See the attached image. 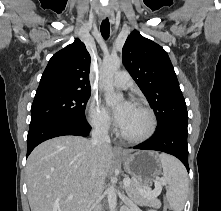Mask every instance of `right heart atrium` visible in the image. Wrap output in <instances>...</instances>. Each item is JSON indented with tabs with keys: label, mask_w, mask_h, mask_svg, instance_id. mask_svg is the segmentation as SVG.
<instances>
[{
	"label": "right heart atrium",
	"mask_w": 221,
	"mask_h": 211,
	"mask_svg": "<svg viewBox=\"0 0 221 211\" xmlns=\"http://www.w3.org/2000/svg\"><path fill=\"white\" fill-rule=\"evenodd\" d=\"M87 111L89 123L94 129L100 132L109 131L111 128L110 116L97 98H90Z\"/></svg>",
	"instance_id": "right-heart-atrium-1"
}]
</instances>
